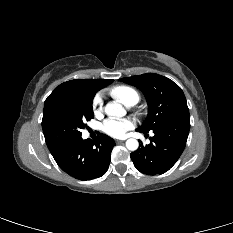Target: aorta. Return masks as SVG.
I'll list each match as a JSON object with an SVG mask.
<instances>
[{
	"label": "aorta",
	"instance_id": "aorta-1",
	"mask_svg": "<svg viewBox=\"0 0 233 233\" xmlns=\"http://www.w3.org/2000/svg\"><path fill=\"white\" fill-rule=\"evenodd\" d=\"M105 113L108 116H112V117H122L125 115L126 111L120 104L114 102V103L106 104ZM138 146H139V143L134 138H130L126 141V147L130 151L137 150Z\"/></svg>",
	"mask_w": 233,
	"mask_h": 233
}]
</instances>
